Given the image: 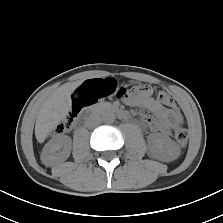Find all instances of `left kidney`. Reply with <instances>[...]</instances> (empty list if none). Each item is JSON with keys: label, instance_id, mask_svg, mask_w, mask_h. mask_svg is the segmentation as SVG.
<instances>
[{"label": "left kidney", "instance_id": "1", "mask_svg": "<svg viewBox=\"0 0 223 223\" xmlns=\"http://www.w3.org/2000/svg\"><path fill=\"white\" fill-rule=\"evenodd\" d=\"M150 155L162 161H172L179 156V148L169 137L154 136L149 140Z\"/></svg>", "mask_w": 223, "mask_h": 223}]
</instances>
